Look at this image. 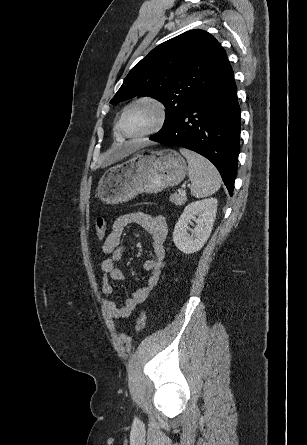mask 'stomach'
<instances>
[{
	"label": "stomach",
	"instance_id": "1",
	"mask_svg": "<svg viewBox=\"0 0 307 445\" xmlns=\"http://www.w3.org/2000/svg\"><path fill=\"white\" fill-rule=\"evenodd\" d=\"M187 162L171 148L138 150L126 162L115 164L101 176L97 194L105 204L128 202L141 192L153 194L184 180Z\"/></svg>",
	"mask_w": 307,
	"mask_h": 445
}]
</instances>
